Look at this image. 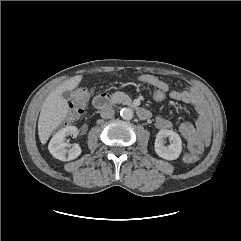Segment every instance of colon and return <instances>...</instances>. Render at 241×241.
Here are the masks:
<instances>
[{"instance_id":"1","label":"colon","mask_w":241,"mask_h":241,"mask_svg":"<svg viewBox=\"0 0 241 241\" xmlns=\"http://www.w3.org/2000/svg\"><path fill=\"white\" fill-rule=\"evenodd\" d=\"M151 97L154 101L161 103L167 99V92L161 87H152ZM88 98L89 92L85 89H81L73 95L66 124L75 122L81 116L87 105ZM183 160L186 163H195L198 160V156L187 152L183 155Z\"/></svg>"}]
</instances>
